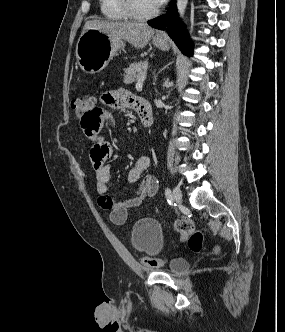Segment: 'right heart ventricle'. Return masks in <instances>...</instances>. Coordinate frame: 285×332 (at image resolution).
Returning a JSON list of instances; mask_svg holds the SVG:
<instances>
[{
  "mask_svg": "<svg viewBox=\"0 0 285 332\" xmlns=\"http://www.w3.org/2000/svg\"><path fill=\"white\" fill-rule=\"evenodd\" d=\"M100 11L104 18L111 21H126L130 17L122 8L119 0H99Z\"/></svg>",
  "mask_w": 285,
  "mask_h": 332,
  "instance_id": "e07e8e85",
  "label": "right heart ventricle"
}]
</instances>
